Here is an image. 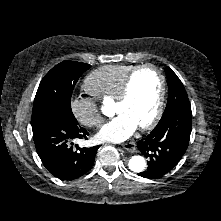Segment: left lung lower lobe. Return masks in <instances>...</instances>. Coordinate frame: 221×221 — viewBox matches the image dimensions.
<instances>
[{"label": "left lung lower lobe", "instance_id": "left-lung-lower-lobe-1", "mask_svg": "<svg viewBox=\"0 0 221 221\" xmlns=\"http://www.w3.org/2000/svg\"><path fill=\"white\" fill-rule=\"evenodd\" d=\"M191 123L190 109L175 110L162 117L154 130L137 143L148 159L147 169L138 175L157 179L171 171L186 152Z\"/></svg>", "mask_w": 221, "mask_h": 221}]
</instances>
